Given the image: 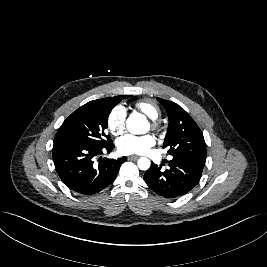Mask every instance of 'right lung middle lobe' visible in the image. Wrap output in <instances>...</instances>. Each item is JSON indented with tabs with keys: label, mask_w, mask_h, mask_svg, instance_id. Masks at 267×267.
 <instances>
[{
	"label": "right lung middle lobe",
	"mask_w": 267,
	"mask_h": 267,
	"mask_svg": "<svg viewBox=\"0 0 267 267\" xmlns=\"http://www.w3.org/2000/svg\"><path fill=\"white\" fill-rule=\"evenodd\" d=\"M130 96L93 100L73 112L58 129L54 145L74 144L105 147L112 143L106 135L108 116L115 105Z\"/></svg>",
	"instance_id": "1"
}]
</instances>
